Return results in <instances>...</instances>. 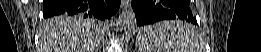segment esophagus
<instances>
[{"label":"esophagus","instance_id":"34e87169","mask_svg":"<svg viewBox=\"0 0 261 52\" xmlns=\"http://www.w3.org/2000/svg\"><path fill=\"white\" fill-rule=\"evenodd\" d=\"M121 7L123 10H127L130 7V1L129 0H122L121 1Z\"/></svg>","mask_w":261,"mask_h":52}]
</instances>
